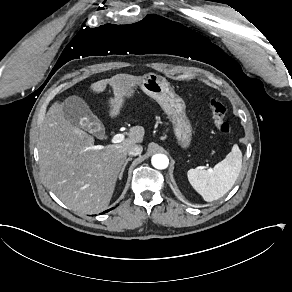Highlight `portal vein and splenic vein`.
<instances>
[{
    "label": "portal vein and splenic vein",
    "mask_w": 292,
    "mask_h": 292,
    "mask_svg": "<svg viewBox=\"0 0 292 292\" xmlns=\"http://www.w3.org/2000/svg\"><path fill=\"white\" fill-rule=\"evenodd\" d=\"M123 141V135L122 134H116L112 137L111 139V143L113 144H117Z\"/></svg>",
    "instance_id": "obj_1"
}]
</instances>
